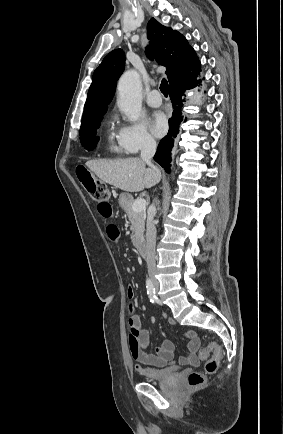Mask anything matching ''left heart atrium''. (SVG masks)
Instances as JSON below:
<instances>
[{"mask_svg":"<svg viewBox=\"0 0 283 434\" xmlns=\"http://www.w3.org/2000/svg\"><path fill=\"white\" fill-rule=\"evenodd\" d=\"M151 130L156 136H162L167 130V119L164 113L155 112L151 119Z\"/></svg>","mask_w":283,"mask_h":434,"instance_id":"39dd6f15","label":"left heart atrium"}]
</instances>
